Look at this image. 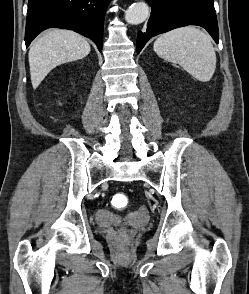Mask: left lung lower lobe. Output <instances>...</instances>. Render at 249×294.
<instances>
[{"label":"left lung lower lobe","instance_id":"0a47b994","mask_svg":"<svg viewBox=\"0 0 249 294\" xmlns=\"http://www.w3.org/2000/svg\"><path fill=\"white\" fill-rule=\"evenodd\" d=\"M146 1L152 6L151 17L146 31L138 32L137 53H140L151 37L187 25L205 28L218 43L219 32L213 0Z\"/></svg>","mask_w":249,"mask_h":294}]
</instances>
